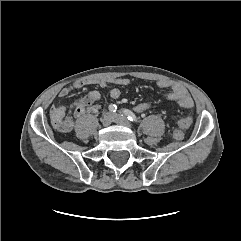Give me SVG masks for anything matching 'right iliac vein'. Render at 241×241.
I'll return each instance as SVG.
<instances>
[{
  "instance_id": "1",
  "label": "right iliac vein",
  "mask_w": 241,
  "mask_h": 241,
  "mask_svg": "<svg viewBox=\"0 0 241 241\" xmlns=\"http://www.w3.org/2000/svg\"><path fill=\"white\" fill-rule=\"evenodd\" d=\"M114 120V115L112 113H106L103 115L101 122L103 126L107 127L109 126Z\"/></svg>"
}]
</instances>
